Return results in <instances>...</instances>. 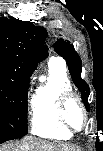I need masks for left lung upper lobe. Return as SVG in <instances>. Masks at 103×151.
<instances>
[{
    "mask_svg": "<svg viewBox=\"0 0 103 151\" xmlns=\"http://www.w3.org/2000/svg\"><path fill=\"white\" fill-rule=\"evenodd\" d=\"M54 49L57 54L61 55L67 61L72 80L81 92L82 100L86 109L89 110L88 96L90 91L88 84L81 78L82 68L79 55L74 50L73 45L63 39L57 40L54 44Z\"/></svg>",
    "mask_w": 103,
    "mask_h": 151,
    "instance_id": "obj_1",
    "label": "left lung upper lobe"
}]
</instances>
